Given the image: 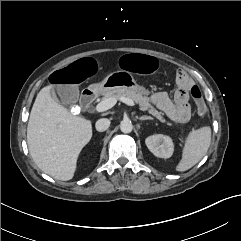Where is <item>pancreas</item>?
Listing matches in <instances>:
<instances>
[{"mask_svg": "<svg viewBox=\"0 0 241 241\" xmlns=\"http://www.w3.org/2000/svg\"><path fill=\"white\" fill-rule=\"evenodd\" d=\"M121 97L129 98L139 104L140 109L142 111H148L152 116L156 117L160 122L171 126L172 123L168 122L164 117L163 113L159 112L156 108H154L151 103L150 99L146 94L136 92L130 90L128 88H118L109 92L104 93L102 100L107 98H114L116 100H120Z\"/></svg>", "mask_w": 241, "mask_h": 241, "instance_id": "1", "label": "pancreas"}]
</instances>
